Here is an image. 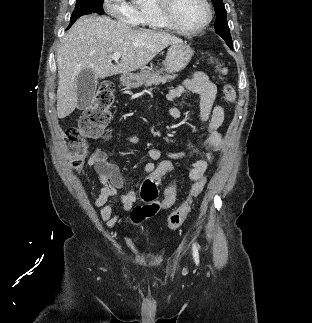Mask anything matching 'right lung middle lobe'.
I'll return each mask as SVG.
<instances>
[{"label":"right lung middle lobe","mask_w":312,"mask_h":323,"mask_svg":"<svg viewBox=\"0 0 312 323\" xmlns=\"http://www.w3.org/2000/svg\"><path fill=\"white\" fill-rule=\"evenodd\" d=\"M75 10L73 11L70 19V25L72 24L81 16L86 15L88 13H97L102 15L104 13L102 7L103 0H76Z\"/></svg>","instance_id":"dd1d6c3e"}]
</instances>
